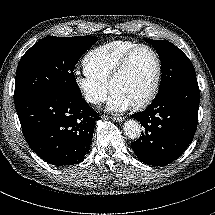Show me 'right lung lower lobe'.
<instances>
[{"label":"right lung lower lobe","mask_w":215,"mask_h":215,"mask_svg":"<svg viewBox=\"0 0 215 215\" xmlns=\"http://www.w3.org/2000/svg\"><path fill=\"white\" fill-rule=\"evenodd\" d=\"M15 107L24 137L40 158L55 166L84 160L99 114L82 97L39 94Z\"/></svg>","instance_id":"right-lung-lower-lobe-1"}]
</instances>
